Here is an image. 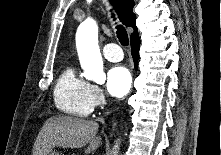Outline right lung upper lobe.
Segmentation results:
<instances>
[{"mask_svg":"<svg viewBox=\"0 0 221 155\" xmlns=\"http://www.w3.org/2000/svg\"><path fill=\"white\" fill-rule=\"evenodd\" d=\"M119 19L125 26H130L134 29L131 37L138 33L135 24L136 16L133 13L134 1L133 0H111Z\"/></svg>","mask_w":221,"mask_h":155,"instance_id":"obj_1","label":"right lung upper lobe"}]
</instances>
